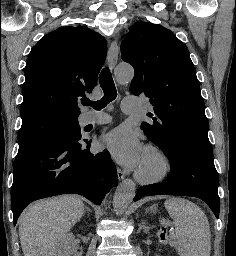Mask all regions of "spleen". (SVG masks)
<instances>
[{
  "label": "spleen",
  "instance_id": "obj_1",
  "mask_svg": "<svg viewBox=\"0 0 236 256\" xmlns=\"http://www.w3.org/2000/svg\"><path fill=\"white\" fill-rule=\"evenodd\" d=\"M165 208L174 220L180 256H210L211 232L203 210L182 198H169Z\"/></svg>",
  "mask_w": 236,
  "mask_h": 256
}]
</instances>
